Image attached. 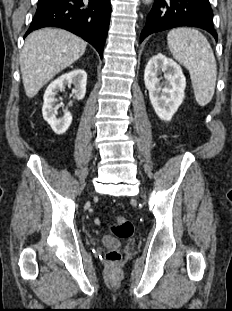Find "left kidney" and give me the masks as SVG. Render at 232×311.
Listing matches in <instances>:
<instances>
[{"instance_id": "obj_1", "label": "left kidney", "mask_w": 232, "mask_h": 311, "mask_svg": "<svg viewBox=\"0 0 232 311\" xmlns=\"http://www.w3.org/2000/svg\"><path fill=\"white\" fill-rule=\"evenodd\" d=\"M144 82L156 114L170 121L184 99L186 79L181 67L161 53L154 55L145 67Z\"/></svg>"}]
</instances>
